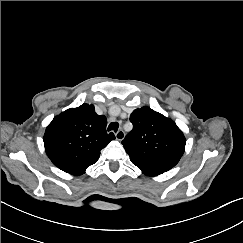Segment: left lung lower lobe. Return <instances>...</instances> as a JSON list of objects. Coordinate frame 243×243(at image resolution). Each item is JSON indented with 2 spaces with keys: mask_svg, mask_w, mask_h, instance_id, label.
<instances>
[{
  "mask_svg": "<svg viewBox=\"0 0 243 243\" xmlns=\"http://www.w3.org/2000/svg\"><path fill=\"white\" fill-rule=\"evenodd\" d=\"M132 163L136 165L145 175L149 176H156L169 170V168L166 167L149 165L137 161H132Z\"/></svg>",
  "mask_w": 243,
  "mask_h": 243,
  "instance_id": "0a47b994",
  "label": "left lung lower lobe"
}]
</instances>
